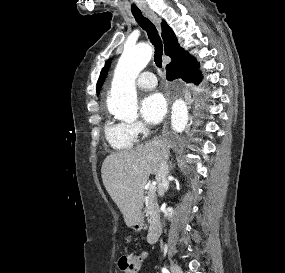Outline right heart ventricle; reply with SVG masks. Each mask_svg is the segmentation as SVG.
Instances as JSON below:
<instances>
[{
    "label": "right heart ventricle",
    "mask_w": 285,
    "mask_h": 273,
    "mask_svg": "<svg viewBox=\"0 0 285 273\" xmlns=\"http://www.w3.org/2000/svg\"><path fill=\"white\" fill-rule=\"evenodd\" d=\"M104 135L111 148L117 151L129 150L137 141V136L132 133L129 124L124 122L107 121Z\"/></svg>",
    "instance_id": "e07e8e85"
}]
</instances>
